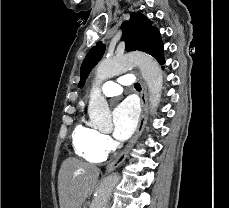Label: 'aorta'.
I'll list each match as a JSON object with an SVG mask.
<instances>
[{
    "mask_svg": "<svg viewBox=\"0 0 229 208\" xmlns=\"http://www.w3.org/2000/svg\"><path fill=\"white\" fill-rule=\"evenodd\" d=\"M138 66L144 78L149 92L150 107L155 110L160 102L163 87V73L160 65L152 57L132 53L119 58H111L101 61L96 68L95 83L90 91L88 114L92 126L99 130L111 127V114L108 103L101 94V84L126 70ZM119 181L117 173L106 177L97 189L92 202V208H107L113 189Z\"/></svg>",
    "mask_w": 229,
    "mask_h": 208,
    "instance_id": "obj_1",
    "label": "aorta"
}]
</instances>
